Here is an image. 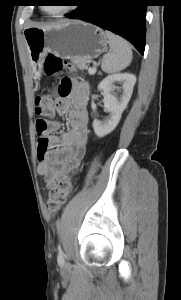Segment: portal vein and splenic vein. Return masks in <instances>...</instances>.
<instances>
[{
  "label": "portal vein and splenic vein",
  "instance_id": "obj_1",
  "mask_svg": "<svg viewBox=\"0 0 181 300\" xmlns=\"http://www.w3.org/2000/svg\"><path fill=\"white\" fill-rule=\"evenodd\" d=\"M88 72L90 75H94L96 73V67L90 68Z\"/></svg>",
  "mask_w": 181,
  "mask_h": 300
}]
</instances>
